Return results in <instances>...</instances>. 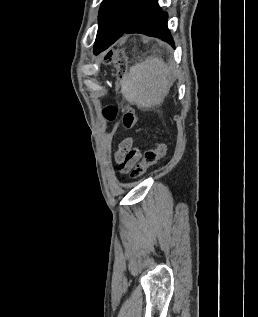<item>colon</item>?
I'll return each mask as SVG.
<instances>
[{
	"label": "colon",
	"instance_id": "5ec220e1",
	"mask_svg": "<svg viewBox=\"0 0 258 317\" xmlns=\"http://www.w3.org/2000/svg\"><path fill=\"white\" fill-rule=\"evenodd\" d=\"M107 59V58H106ZM123 71H120L118 76V83L122 81ZM104 117L112 121L118 115V108L114 105H108L103 110ZM138 122V116L136 111L132 108L127 109L122 117V124L125 128L131 129ZM167 151V147L164 141L158 140L154 148L145 151L142 160L137 163L130 172L131 177L137 178L142 176L151 166L155 165L161 160Z\"/></svg>",
	"mask_w": 258,
	"mask_h": 317
}]
</instances>
